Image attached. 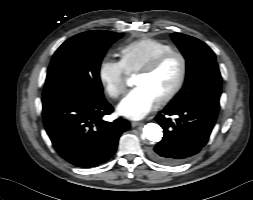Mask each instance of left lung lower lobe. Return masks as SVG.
Here are the masks:
<instances>
[{
  "label": "left lung lower lobe",
  "instance_id": "0a47b994",
  "mask_svg": "<svg viewBox=\"0 0 253 200\" xmlns=\"http://www.w3.org/2000/svg\"><path fill=\"white\" fill-rule=\"evenodd\" d=\"M218 111L219 101L212 99L165 107L155 117L164 136L150 150L151 158L162 164L176 165L197 154L209 139Z\"/></svg>",
  "mask_w": 253,
  "mask_h": 200
}]
</instances>
